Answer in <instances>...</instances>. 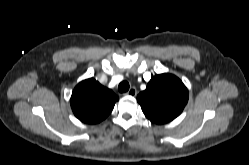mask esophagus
Returning <instances> with one entry per match:
<instances>
[{"mask_svg": "<svg viewBox=\"0 0 249 165\" xmlns=\"http://www.w3.org/2000/svg\"><path fill=\"white\" fill-rule=\"evenodd\" d=\"M127 96H136L137 95V90L135 87H132L129 89V91L125 94Z\"/></svg>", "mask_w": 249, "mask_h": 165, "instance_id": "esophagus-1", "label": "esophagus"}]
</instances>
